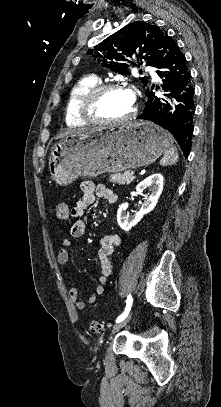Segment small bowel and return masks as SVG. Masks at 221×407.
Returning a JSON list of instances; mask_svg holds the SVG:
<instances>
[{
	"instance_id": "c3829d8e",
	"label": "small bowel",
	"mask_w": 221,
	"mask_h": 407,
	"mask_svg": "<svg viewBox=\"0 0 221 407\" xmlns=\"http://www.w3.org/2000/svg\"><path fill=\"white\" fill-rule=\"evenodd\" d=\"M80 189L82 193L81 198L77 201L75 207L71 211L72 222L70 224L69 232L73 238H80L85 233L86 227L82 216L85 209L95 203L97 197L103 198L111 204L117 201V195L104 185H95L93 182L86 181L81 184ZM118 245L119 238L115 234L106 235L101 239V248L98 253L100 260V273L97 278L98 284L95 288V292L90 295L87 300L89 304H93L96 301L97 296L104 292V287L112 273L110 256ZM71 246L72 243L70 240L64 239L61 241L56 255V262L59 266L65 267L68 264L70 259L69 250ZM68 295L71 303L77 309L82 310L85 308V302L80 299L76 287H70Z\"/></svg>"
}]
</instances>
